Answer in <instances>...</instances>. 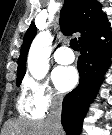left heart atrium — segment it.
Listing matches in <instances>:
<instances>
[{
  "instance_id": "39dd6f15",
  "label": "left heart atrium",
  "mask_w": 112,
  "mask_h": 135,
  "mask_svg": "<svg viewBox=\"0 0 112 135\" xmlns=\"http://www.w3.org/2000/svg\"><path fill=\"white\" fill-rule=\"evenodd\" d=\"M52 80L60 92L73 89L78 82V74L74 67L58 66L52 72Z\"/></svg>"
}]
</instances>
